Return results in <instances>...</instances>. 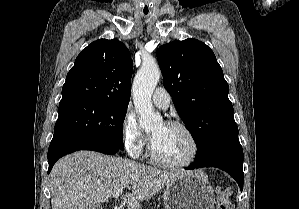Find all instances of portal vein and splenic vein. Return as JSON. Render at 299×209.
Segmentation results:
<instances>
[{
  "mask_svg": "<svg viewBox=\"0 0 299 209\" xmlns=\"http://www.w3.org/2000/svg\"><path fill=\"white\" fill-rule=\"evenodd\" d=\"M123 192V188L118 189L114 194L113 197L118 198Z\"/></svg>",
  "mask_w": 299,
  "mask_h": 209,
  "instance_id": "1",
  "label": "portal vein and splenic vein"
}]
</instances>
